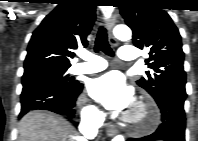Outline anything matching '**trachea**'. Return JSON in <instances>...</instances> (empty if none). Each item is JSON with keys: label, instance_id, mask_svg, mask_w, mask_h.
Listing matches in <instances>:
<instances>
[{"label": "trachea", "instance_id": "trachea-1", "mask_svg": "<svg viewBox=\"0 0 198 141\" xmlns=\"http://www.w3.org/2000/svg\"><path fill=\"white\" fill-rule=\"evenodd\" d=\"M103 51L108 56H114V52L108 44L107 33L104 26L99 28L96 40H95V52Z\"/></svg>", "mask_w": 198, "mask_h": 141}]
</instances>
